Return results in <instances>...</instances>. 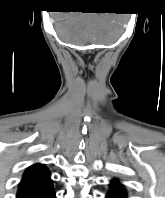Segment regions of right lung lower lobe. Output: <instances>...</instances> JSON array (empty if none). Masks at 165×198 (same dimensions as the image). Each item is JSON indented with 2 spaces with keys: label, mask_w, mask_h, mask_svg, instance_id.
I'll list each match as a JSON object with an SVG mask.
<instances>
[{
  "label": "right lung lower lobe",
  "mask_w": 165,
  "mask_h": 198,
  "mask_svg": "<svg viewBox=\"0 0 165 198\" xmlns=\"http://www.w3.org/2000/svg\"><path fill=\"white\" fill-rule=\"evenodd\" d=\"M29 198H56V197H55L54 188L52 186L48 189H45L37 194L30 196Z\"/></svg>",
  "instance_id": "right-lung-lower-lobe-1"
}]
</instances>
